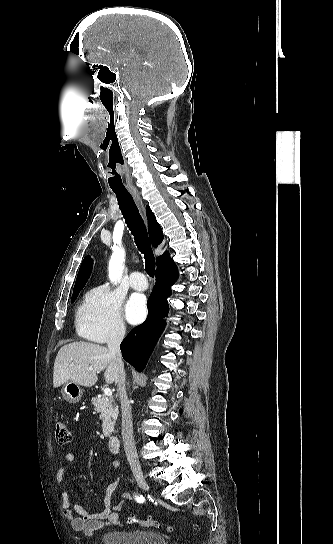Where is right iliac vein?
<instances>
[{
    "label": "right iliac vein",
    "mask_w": 333,
    "mask_h": 544,
    "mask_svg": "<svg viewBox=\"0 0 333 544\" xmlns=\"http://www.w3.org/2000/svg\"><path fill=\"white\" fill-rule=\"evenodd\" d=\"M133 473L139 487L142 488L144 491L149 492V486L143 476L142 471L140 469H134Z\"/></svg>",
    "instance_id": "right-iliac-vein-1"
}]
</instances>
